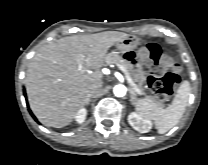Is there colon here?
<instances>
[{
  "instance_id": "colon-1",
  "label": "colon",
  "mask_w": 208,
  "mask_h": 165,
  "mask_svg": "<svg viewBox=\"0 0 208 165\" xmlns=\"http://www.w3.org/2000/svg\"><path fill=\"white\" fill-rule=\"evenodd\" d=\"M142 66L150 79V88L161 99L172 96L179 84L180 65L170 54L154 43L142 46L138 52ZM169 68V70H165Z\"/></svg>"
}]
</instances>
